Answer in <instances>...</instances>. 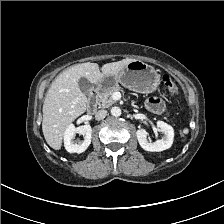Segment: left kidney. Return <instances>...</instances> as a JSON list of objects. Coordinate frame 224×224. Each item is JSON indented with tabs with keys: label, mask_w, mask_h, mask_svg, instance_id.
Returning <instances> with one entry per match:
<instances>
[{
	"label": "left kidney",
	"mask_w": 224,
	"mask_h": 224,
	"mask_svg": "<svg viewBox=\"0 0 224 224\" xmlns=\"http://www.w3.org/2000/svg\"><path fill=\"white\" fill-rule=\"evenodd\" d=\"M157 127L159 131L164 134L163 139L157 140L153 143L148 142L147 140V131L144 129L137 130L136 135L140 146L146 150L151 152H161L166 149H169L172 146L174 139V129L172 126L168 125L163 121L157 122Z\"/></svg>",
	"instance_id": "1"
}]
</instances>
